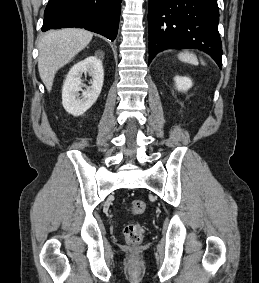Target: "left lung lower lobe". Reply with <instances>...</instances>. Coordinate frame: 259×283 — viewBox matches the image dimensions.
<instances>
[{"label":"left lung lower lobe","mask_w":259,"mask_h":283,"mask_svg":"<svg viewBox=\"0 0 259 283\" xmlns=\"http://www.w3.org/2000/svg\"><path fill=\"white\" fill-rule=\"evenodd\" d=\"M217 0H149V63L165 49L205 51L222 67Z\"/></svg>","instance_id":"obj_1"}]
</instances>
